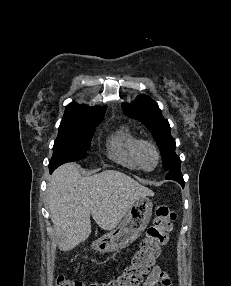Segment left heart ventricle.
Returning a JSON list of instances; mask_svg holds the SVG:
<instances>
[{"mask_svg":"<svg viewBox=\"0 0 231 286\" xmlns=\"http://www.w3.org/2000/svg\"><path fill=\"white\" fill-rule=\"evenodd\" d=\"M155 163H156V158L154 153L151 150H146L144 153V165L148 169H151L154 167Z\"/></svg>","mask_w":231,"mask_h":286,"instance_id":"1","label":"left heart ventricle"}]
</instances>
